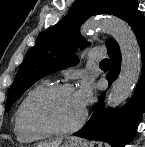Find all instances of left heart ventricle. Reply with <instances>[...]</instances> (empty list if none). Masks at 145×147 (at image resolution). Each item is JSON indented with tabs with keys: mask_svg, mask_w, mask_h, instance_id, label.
Wrapping results in <instances>:
<instances>
[{
	"mask_svg": "<svg viewBox=\"0 0 145 147\" xmlns=\"http://www.w3.org/2000/svg\"><path fill=\"white\" fill-rule=\"evenodd\" d=\"M42 110L57 126L68 127L80 119L84 108L81 106L75 90H68L46 100L42 105Z\"/></svg>",
	"mask_w": 145,
	"mask_h": 147,
	"instance_id": "obj_1",
	"label": "left heart ventricle"
}]
</instances>
